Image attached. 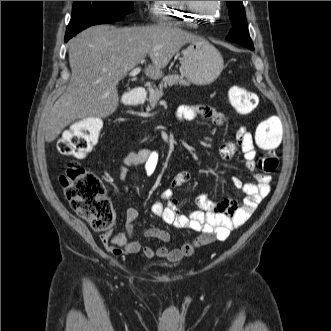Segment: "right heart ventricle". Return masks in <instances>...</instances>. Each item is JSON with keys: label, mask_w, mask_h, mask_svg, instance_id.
I'll return each mask as SVG.
<instances>
[{"label": "right heart ventricle", "mask_w": 331, "mask_h": 331, "mask_svg": "<svg viewBox=\"0 0 331 331\" xmlns=\"http://www.w3.org/2000/svg\"><path fill=\"white\" fill-rule=\"evenodd\" d=\"M151 13L156 22L186 26H196L202 17L185 9L182 1H153Z\"/></svg>", "instance_id": "1"}]
</instances>
